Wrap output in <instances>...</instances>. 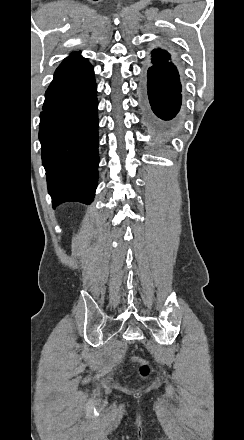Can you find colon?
Returning <instances> with one entry per match:
<instances>
[{"instance_id": "obj_1", "label": "colon", "mask_w": 244, "mask_h": 440, "mask_svg": "<svg viewBox=\"0 0 244 440\" xmlns=\"http://www.w3.org/2000/svg\"><path fill=\"white\" fill-rule=\"evenodd\" d=\"M136 359H137V356L132 357V360H136ZM141 372H142L143 376H147L150 374V368L145 365V366L141 367Z\"/></svg>"}]
</instances>
